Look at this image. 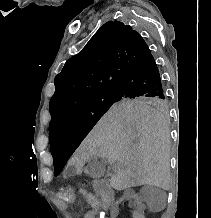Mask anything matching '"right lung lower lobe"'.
Segmentation results:
<instances>
[{"label":"right lung lower lobe","mask_w":211,"mask_h":218,"mask_svg":"<svg viewBox=\"0 0 211 218\" xmlns=\"http://www.w3.org/2000/svg\"><path fill=\"white\" fill-rule=\"evenodd\" d=\"M115 92L121 97L165 98L158 67L152 54L135 66L117 85Z\"/></svg>","instance_id":"right-lung-lower-lobe-1"}]
</instances>
